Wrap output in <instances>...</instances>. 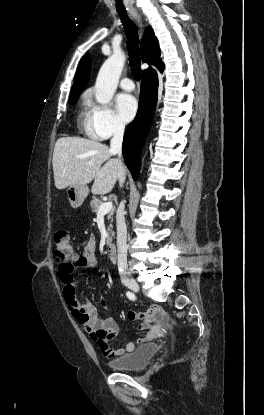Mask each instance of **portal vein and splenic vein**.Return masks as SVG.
<instances>
[{"instance_id": "portal-vein-and-splenic-vein-1", "label": "portal vein and splenic vein", "mask_w": 264, "mask_h": 415, "mask_svg": "<svg viewBox=\"0 0 264 415\" xmlns=\"http://www.w3.org/2000/svg\"><path fill=\"white\" fill-rule=\"evenodd\" d=\"M113 208L112 202H106L100 205L98 214H107L109 213Z\"/></svg>"}]
</instances>
